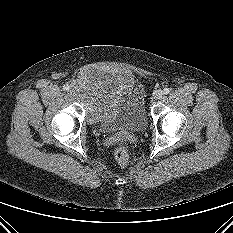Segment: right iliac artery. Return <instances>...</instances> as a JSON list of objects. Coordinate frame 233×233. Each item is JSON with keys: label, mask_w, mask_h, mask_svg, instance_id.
Instances as JSON below:
<instances>
[{"label": "right iliac artery", "mask_w": 233, "mask_h": 233, "mask_svg": "<svg viewBox=\"0 0 233 233\" xmlns=\"http://www.w3.org/2000/svg\"><path fill=\"white\" fill-rule=\"evenodd\" d=\"M63 89L64 90H69V85L68 84L63 85Z\"/></svg>", "instance_id": "1"}]
</instances>
